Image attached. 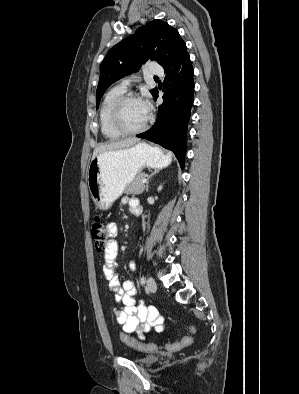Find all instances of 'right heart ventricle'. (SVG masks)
Wrapping results in <instances>:
<instances>
[{
  "mask_svg": "<svg viewBox=\"0 0 299 394\" xmlns=\"http://www.w3.org/2000/svg\"><path fill=\"white\" fill-rule=\"evenodd\" d=\"M125 89L120 86H115L108 90L103 97L100 110H99V120L101 132L104 137L114 140L119 138L122 134L116 131L110 122V111L115 100L125 93Z\"/></svg>",
  "mask_w": 299,
  "mask_h": 394,
  "instance_id": "e07e8e85",
  "label": "right heart ventricle"
}]
</instances>
